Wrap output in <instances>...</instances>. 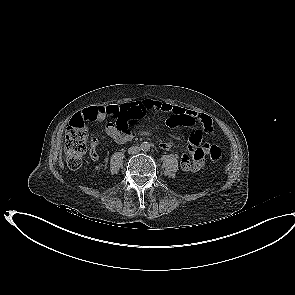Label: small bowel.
I'll return each mask as SVG.
<instances>
[{
    "mask_svg": "<svg viewBox=\"0 0 295 295\" xmlns=\"http://www.w3.org/2000/svg\"><path fill=\"white\" fill-rule=\"evenodd\" d=\"M109 106H93L83 109L77 117L87 122L104 121L107 118L106 110ZM132 116L131 121H137L145 118L148 112L166 115V125L170 128L179 126L192 127L201 124L202 129H194L189 135L188 154H184L181 158V167L186 171H199L205 166V155L210 149L209 143L201 144L203 136H213L214 128L211 118L204 113L185 109L170 105L154 99H145L142 101L132 102L124 105ZM106 133L117 143H125L129 141L134 132L130 130V124L125 129H119L116 124L108 123L106 125ZM141 135H148L149 131L140 130ZM99 140L96 135L91 136L89 155L93 161H98L100 156L98 153ZM173 142L162 141L160 147L164 150L171 149Z\"/></svg>",
    "mask_w": 295,
    "mask_h": 295,
    "instance_id": "obj_1",
    "label": "small bowel"
}]
</instances>
